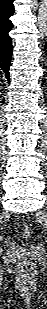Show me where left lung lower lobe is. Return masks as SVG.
<instances>
[{"label": "left lung lower lobe", "mask_w": 47, "mask_h": 309, "mask_svg": "<svg viewBox=\"0 0 47 309\" xmlns=\"http://www.w3.org/2000/svg\"><path fill=\"white\" fill-rule=\"evenodd\" d=\"M47 49V43H46V45H45V48H44V50H46Z\"/></svg>", "instance_id": "0a47b994"}]
</instances>
